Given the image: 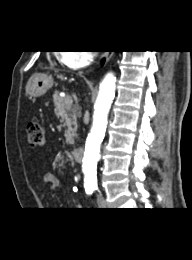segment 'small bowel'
Returning a JSON list of instances; mask_svg holds the SVG:
<instances>
[{
  "label": "small bowel",
  "mask_w": 192,
  "mask_h": 260,
  "mask_svg": "<svg viewBox=\"0 0 192 260\" xmlns=\"http://www.w3.org/2000/svg\"><path fill=\"white\" fill-rule=\"evenodd\" d=\"M43 181H44V185H45L46 189L49 191L55 190V189L61 187V185H62L59 177L51 171L47 172L44 175Z\"/></svg>",
  "instance_id": "1"
}]
</instances>
